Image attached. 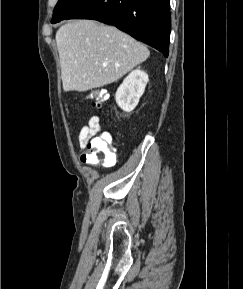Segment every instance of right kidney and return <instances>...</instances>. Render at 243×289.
Segmentation results:
<instances>
[{
  "instance_id": "ca27d5eb",
  "label": "right kidney",
  "mask_w": 243,
  "mask_h": 289,
  "mask_svg": "<svg viewBox=\"0 0 243 289\" xmlns=\"http://www.w3.org/2000/svg\"><path fill=\"white\" fill-rule=\"evenodd\" d=\"M148 75L140 70H133L117 89L115 98L118 106L125 112H131L138 105L145 91Z\"/></svg>"
}]
</instances>
